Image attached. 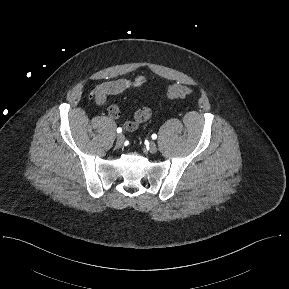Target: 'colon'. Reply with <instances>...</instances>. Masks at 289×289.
Returning <instances> with one entry per match:
<instances>
[{
    "label": "colon",
    "instance_id": "1",
    "mask_svg": "<svg viewBox=\"0 0 289 289\" xmlns=\"http://www.w3.org/2000/svg\"><path fill=\"white\" fill-rule=\"evenodd\" d=\"M192 93L190 87L185 85H173L168 89L167 96L170 99H181Z\"/></svg>",
    "mask_w": 289,
    "mask_h": 289
}]
</instances>
